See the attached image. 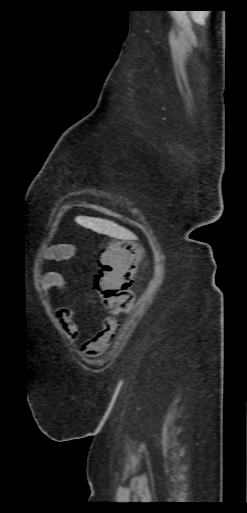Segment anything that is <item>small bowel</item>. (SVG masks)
<instances>
[{
    "mask_svg": "<svg viewBox=\"0 0 247 513\" xmlns=\"http://www.w3.org/2000/svg\"><path fill=\"white\" fill-rule=\"evenodd\" d=\"M70 246H56L50 250L49 260L60 261L69 257ZM40 288L43 294L48 297L49 292L56 288L64 291L65 281L61 273L56 271L43 272L41 275ZM63 330L68 338L75 339L78 335V327L73 319V311L70 307H63L58 310ZM119 328V322L113 317L107 318L100 332L84 344V350L89 356L100 355L105 352L115 339Z\"/></svg>",
    "mask_w": 247,
    "mask_h": 513,
    "instance_id": "c3829d8e",
    "label": "small bowel"
}]
</instances>
